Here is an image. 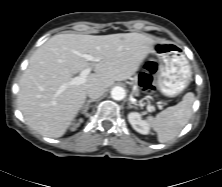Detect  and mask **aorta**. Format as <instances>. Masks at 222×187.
<instances>
[{
  "label": "aorta",
  "mask_w": 222,
  "mask_h": 187,
  "mask_svg": "<svg viewBox=\"0 0 222 187\" xmlns=\"http://www.w3.org/2000/svg\"><path fill=\"white\" fill-rule=\"evenodd\" d=\"M125 96H126V91L124 88H122L120 86H116V87L112 88L111 97L114 100L120 101V100L124 99Z\"/></svg>",
  "instance_id": "aorta-1"
}]
</instances>
